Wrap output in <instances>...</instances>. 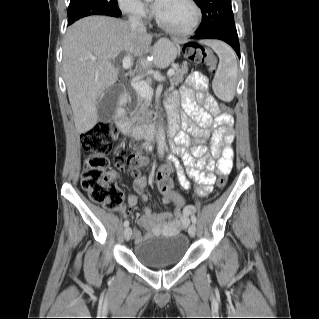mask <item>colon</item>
<instances>
[{"label":"colon","instance_id":"1","mask_svg":"<svg viewBox=\"0 0 319 319\" xmlns=\"http://www.w3.org/2000/svg\"><path fill=\"white\" fill-rule=\"evenodd\" d=\"M184 56L194 63L214 64V58L202 46L185 44ZM220 111L228 112L230 108L222 103L213 102L210 112L215 115ZM116 136V128L111 122H103L95 126L82 137V145L91 154L84 160L82 170V186L89 198L102 205L111 212L121 211L124 208V195L116 186L114 177L109 171V163L106 154L112 151ZM115 161L119 168H126L132 172H138L147 160L138 152H131L122 146L115 148ZM161 190L171 189V181L168 178H159ZM226 185V177L222 176L217 181L218 188Z\"/></svg>","mask_w":319,"mask_h":319}]
</instances>
